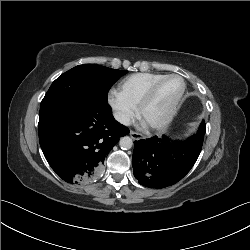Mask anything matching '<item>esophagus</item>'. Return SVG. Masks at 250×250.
<instances>
[{
  "mask_svg": "<svg viewBox=\"0 0 250 250\" xmlns=\"http://www.w3.org/2000/svg\"><path fill=\"white\" fill-rule=\"evenodd\" d=\"M129 135L133 140H139L142 138L140 133L134 132L133 130L130 131Z\"/></svg>",
  "mask_w": 250,
  "mask_h": 250,
  "instance_id": "esophagus-1",
  "label": "esophagus"
}]
</instances>
